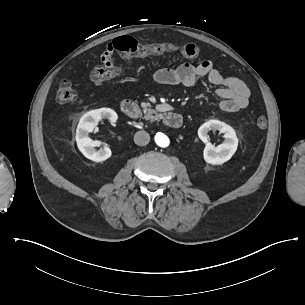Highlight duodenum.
<instances>
[{"label": "duodenum", "mask_w": 305, "mask_h": 305, "mask_svg": "<svg viewBox=\"0 0 305 305\" xmlns=\"http://www.w3.org/2000/svg\"><path fill=\"white\" fill-rule=\"evenodd\" d=\"M121 111L130 118H140L142 116V110L138 103L131 100H124L121 103ZM163 122L169 128L178 129L182 125V117L178 113L169 112L163 117Z\"/></svg>", "instance_id": "obj_1"}]
</instances>
